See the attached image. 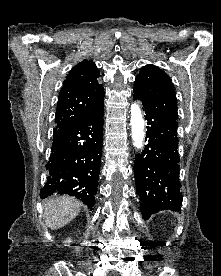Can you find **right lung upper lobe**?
<instances>
[{
  "instance_id": "right-lung-upper-lobe-1",
  "label": "right lung upper lobe",
  "mask_w": 221,
  "mask_h": 276,
  "mask_svg": "<svg viewBox=\"0 0 221 276\" xmlns=\"http://www.w3.org/2000/svg\"><path fill=\"white\" fill-rule=\"evenodd\" d=\"M98 78L92 61L84 60L72 68L59 93L54 131L84 121L104 104V89Z\"/></svg>"
}]
</instances>
